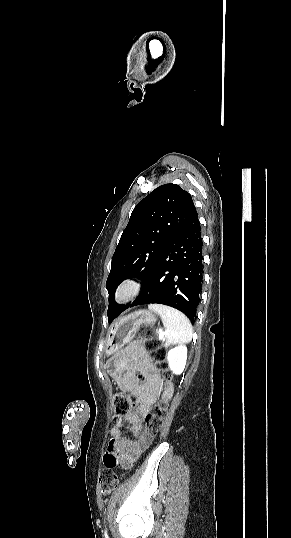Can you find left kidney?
Wrapping results in <instances>:
<instances>
[{"mask_svg": "<svg viewBox=\"0 0 291 538\" xmlns=\"http://www.w3.org/2000/svg\"><path fill=\"white\" fill-rule=\"evenodd\" d=\"M167 360L170 370L174 374H181L186 365L187 347L181 344L170 349L167 353Z\"/></svg>", "mask_w": 291, "mask_h": 538, "instance_id": "obj_1", "label": "left kidney"}]
</instances>
